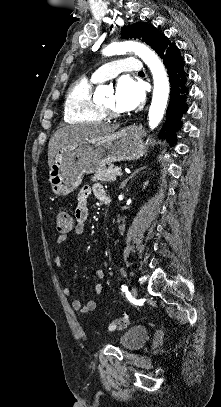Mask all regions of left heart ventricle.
<instances>
[{
	"mask_svg": "<svg viewBox=\"0 0 221 407\" xmlns=\"http://www.w3.org/2000/svg\"><path fill=\"white\" fill-rule=\"evenodd\" d=\"M105 106L109 107V108H113L116 110H120V108L117 106V100H116V95L115 93H112L107 99L106 101L103 103Z\"/></svg>",
	"mask_w": 221,
	"mask_h": 407,
	"instance_id": "obj_1",
	"label": "left heart ventricle"
}]
</instances>
